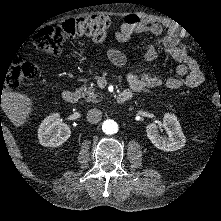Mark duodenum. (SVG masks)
<instances>
[{"label":"duodenum","instance_id":"obj_1","mask_svg":"<svg viewBox=\"0 0 221 221\" xmlns=\"http://www.w3.org/2000/svg\"><path fill=\"white\" fill-rule=\"evenodd\" d=\"M63 99L68 103H76L79 100V93L72 90H65L62 93ZM132 97V93L129 90H124L120 92L116 98L117 102L119 104H122L126 101H128Z\"/></svg>","mask_w":221,"mask_h":221}]
</instances>
